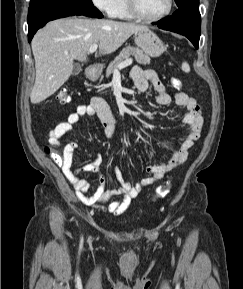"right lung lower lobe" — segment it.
Wrapping results in <instances>:
<instances>
[{"label":"right lung lower lobe","mask_w":243,"mask_h":289,"mask_svg":"<svg viewBox=\"0 0 243 289\" xmlns=\"http://www.w3.org/2000/svg\"><path fill=\"white\" fill-rule=\"evenodd\" d=\"M73 15L102 18L103 15L93 6L75 0H31L28 12V41L47 22Z\"/></svg>","instance_id":"obj_1"}]
</instances>
